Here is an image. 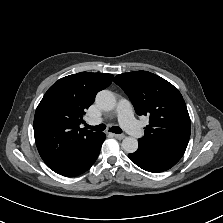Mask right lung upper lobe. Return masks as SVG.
Instances as JSON below:
<instances>
[{
	"label": "right lung upper lobe",
	"mask_w": 223,
	"mask_h": 223,
	"mask_svg": "<svg viewBox=\"0 0 223 223\" xmlns=\"http://www.w3.org/2000/svg\"><path fill=\"white\" fill-rule=\"evenodd\" d=\"M112 74L81 72L56 81L45 93L34 117L35 142L46 165L58 174L78 167L100 133L79 127L84 110L108 87Z\"/></svg>",
	"instance_id": "cb5924a9"
}]
</instances>
